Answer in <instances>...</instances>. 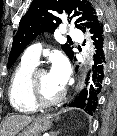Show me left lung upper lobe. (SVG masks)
Here are the masks:
<instances>
[{"label": "left lung upper lobe", "mask_w": 117, "mask_h": 136, "mask_svg": "<svg viewBox=\"0 0 117 136\" xmlns=\"http://www.w3.org/2000/svg\"><path fill=\"white\" fill-rule=\"evenodd\" d=\"M66 11L70 20L82 15L75 21V26L84 30H90L100 24L95 9L87 0H33L27 13L22 17L19 29L13 38L12 49L8 59L10 68L24 48L42 32H54L56 27L62 22L61 18L52 14H61ZM85 21V23H81ZM63 51L70 59L74 57L72 48L69 44L62 45Z\"/></svg>", "instance_id": "5c2ea615"}]
</instances>
